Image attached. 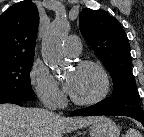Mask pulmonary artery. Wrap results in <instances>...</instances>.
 Instances as JSON below:
<instances>
[{"instance_id":"obj_1","label":"pulmonary artery","mask_w":144,"mask_h":137,"mask_svg":"<svg viewBox=\"0 0 144 137\" xmlns=\"http://www.w3.org/2000/svg\"><path fill=\"white\" fill-rule=\"evenodd\" d=\"M81 40L74 35H70L65 40L64 49L67 55L77 56L81 52Z\"/></svg>"}]
</instances>
